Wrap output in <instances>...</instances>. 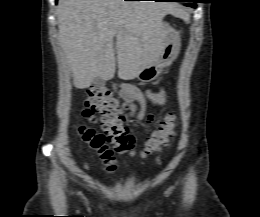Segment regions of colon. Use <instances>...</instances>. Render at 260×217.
I'll list each match as a JSON object with an SVG mask.
<instances>
[{
  "label": "colon",
  "mask_w": 260,
  "mask_h": 217,
  "mask_svg": "<svg viewBox=\"0 0 260 217\" xmlns=\"http://www.w3.org/2000/svg\"><path fill=\"white\" fill-rule=\"evenodd\" d=\"M93 114L100 115L105 134L86 125L79 126L78 131L83 140L89 143L91 148L101 157L107 165V169L113 171L115 154L136 155L133 136L125 126V118L111 91L105 89H89L87 91L84 115L91 118ZM176 129L177 117L170 113L147 140L144 149L139 152V156L148 158L159 154L162 148L174 137Z\"/></svg>",
  "instance_id": "5ec220e1"
}]
</instances>
